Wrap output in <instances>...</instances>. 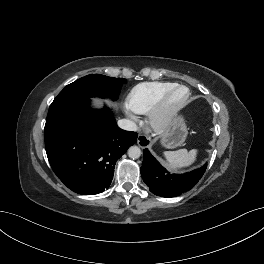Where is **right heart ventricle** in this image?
<instances>
[{"label": "right heart ventricle", "instance_id": "right-heart-ventricle-1", "mask_svg": "<svg viewBox=\"0 0 264 264\" xmlns=\"http://www.w3.org/2000/svg\"><path fill=\"white\" fill-rule=\"evenodd\" d=\"M173 85L175 83L164 81L140 83L129 92L128 106L135 113L146 114L152 109L159 97Z\"/></svg>", "mask_w": 264, "mask_h": 264}]
</instances>
